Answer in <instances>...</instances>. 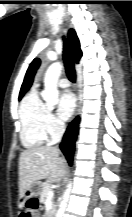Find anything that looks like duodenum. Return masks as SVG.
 Returning a JSON list of instances; mask_svg holds the SVG:
<instances>
[{"mask_svg": "<svg viewBox=\"0 0 132 217\" xmlns=\"http://www.w3.org/2000/svg\"><path fill=\"white\" fill-rule=\"evenodd\" d=\"M49 217H54V215H53V214H50Z\"/></svg>", "mask_w": 132, "mask_h": 217, "instance_id": "1", "label": "duodenum"}]
</instances>
